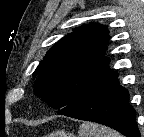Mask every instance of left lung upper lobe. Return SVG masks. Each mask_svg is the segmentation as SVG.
I'll use <instances>...</instances> for the list:
<instances>
[{"label":"left lung upper lobe","mask_w":144,"mask_h":137,"mask_svg":"<svg viewBox=\"0 0 144 137\" xmlns=\"http://www.w3.org/2000/svg\"><path fill=\"white\" fill-rule=\"evenodd\" d=\"M108 30L86 25L63 37L33 73L34 93L50 107L62 109L114 73L104 56Z\"/></svg>","instance_id":"obj_1"}]
</instances>
